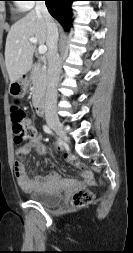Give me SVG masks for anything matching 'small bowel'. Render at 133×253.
<instances>
[{
	"mask_svg": "<svg viewBox=\"0 0 133 253\" xmlns=\"http://www.w3.org/2000/svg\"><path fill=\"white\" fill-rule=\"evenodd\" d=\"M33 148L40 155H45L47 153V149L42 143V139L40 135H38L36 132L34 133L33 137L28 142L21 145L17 149V154L20 156L27 155ZM14 170H15L17 183L19 187L25 192H32V191L39 190L43 187V185L46 182V179L40 176L29 177L26 174L23 164L19 161L15 162ZM80 175L83 179L84 184L86 185L94 184L93 175L86 168H82Z\"/></svg>",
	"mask_w": 133,
	"mask_h": 253,
	"instance_id": "1",
	"label": "small bowel"
}]
</instances>
